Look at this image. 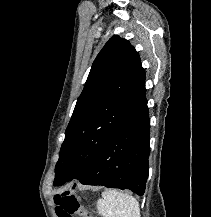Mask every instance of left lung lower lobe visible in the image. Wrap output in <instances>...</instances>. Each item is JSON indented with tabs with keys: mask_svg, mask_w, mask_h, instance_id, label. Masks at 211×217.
<instances>
[{
	"mask_svg": "<svg viewBox=\"0 0 211 217\" xmlns=\"http://www.w3.org/2000/svg\"><path fill=\"white\" fill-rule=\"evenodd\" d=\"M150 119L147 102L119 125L89 164L75 177L82 184L145 192L149 175Z\"/></svg>",
	"mask_w": 211,
	"mask_h": 217,
	"instance_id": "left-lung-lower-lobe-1",
	"label": "left lung lower lobe"
}]
</instances>
